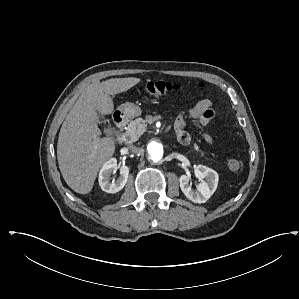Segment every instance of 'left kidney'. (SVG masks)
I'll return each mask as SVG.
<instances>
[{"mask_svg":"<svg viewBox=\"0 0 299 299\" xmlns=\"http://www.w3.org/2000/svg\"><path fill=\"white\" fill-rule=\"evenodd\" d=\"M194 174L201 182L197 189L193 190L189 185V176L181 175L179 178L180 188L185 196L194 203H205L216 191L219 176L216 171L204 165H198ZM205 179V180H204Z\"/></svg>","mask_w":299,"mask_h":299,"instance_id":"left-kidney-1","label":"left kidney"}]
</instances>
